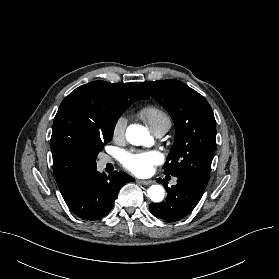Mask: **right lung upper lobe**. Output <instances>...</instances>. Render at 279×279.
Wrapping results in <instances>:
<instances>
[{"label": "right lung upper lobe", "instance_id": "obj_1", "mask_svg": "<svg viewBox=\"0 0 279 279\" xmlns=\"http://www.w3.org/2000/svg\"><path fill=\"white\" fill-rule=\"evenodd\" d=\"M135 83L93 81L72 91L54 118L51 136L53 173L62 196L72 188L87 166L86 145L110 124V110L116 102L148 99Z\"/></svg>", "mask_w": 279, "mask_h": 279}]
</instances>
